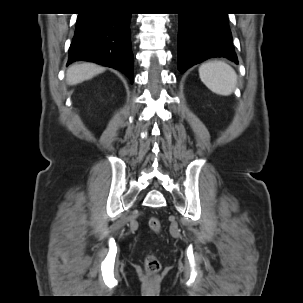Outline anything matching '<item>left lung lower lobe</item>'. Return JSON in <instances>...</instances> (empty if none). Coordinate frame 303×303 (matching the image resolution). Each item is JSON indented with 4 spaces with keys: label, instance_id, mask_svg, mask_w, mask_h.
Returning <instances> with one entry per match:
<instances>
[{
    "label": "left lung lower lobe",
    "instance_id": "left-lung-lower-lobe-1",
    "mask_svg": "<svg viewBox=\"0 0 303 303\" xmlns=\"http://www.w3.org/2000/svg\"><path fill=\"white\" fill-rule=\"evenodd\" d=\"M177 49L181 72L213 57L238 64L225 13L179 14Z\"/></svg>",
    "mask_w": 303,
    "mask_h": 303
}]
</instances>
